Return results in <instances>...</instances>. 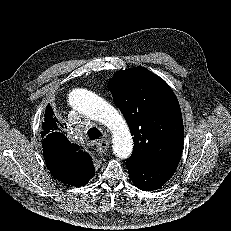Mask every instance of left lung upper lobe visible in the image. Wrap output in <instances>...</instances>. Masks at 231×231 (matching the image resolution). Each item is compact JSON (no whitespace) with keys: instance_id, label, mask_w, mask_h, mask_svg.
Masks as SVG:
<instances>
[{"instance_id":"obj_1","label":"left lung upper lobe","mask_w":231,"mask_h":231,"mask_svg":"<svg viewBox=\"0 0 231 231\" xmlns=\"http://www.w3.org/2000/svg\"><path fill=\"white\" fill-rule=\"evenodd\" d=\"M108 88L135 143L131 163L178 165L184 140L182 113L172 89L144 67L118 71Z\"/></svg>"}]
</instances>
